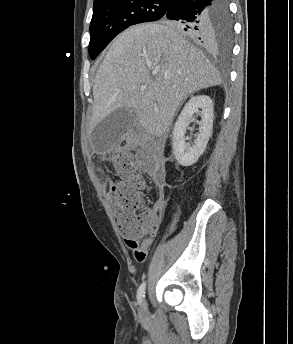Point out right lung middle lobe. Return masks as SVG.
Masks as SVG:
<instances>
[{"label":"right lung middle lobe","instance_id":"obj_1","mask_svg":"<svg viewBox=\"0 0 293 344\" xmlns=\"http://www.w3.org/2000/svg\"><path fill=\"white\" fill-rule=\"evenodd\" d=\"M170 1L112 0L94 5L90 24V58L94 60L114 37L128 27L163 18ZM173 25L176 26L175 23ZM211 27L214 34L213 44L229 50L232 40V23L226 0L217 1Z\"/></svg>","mask_w":293,"mask_h":344}]
</instances>
